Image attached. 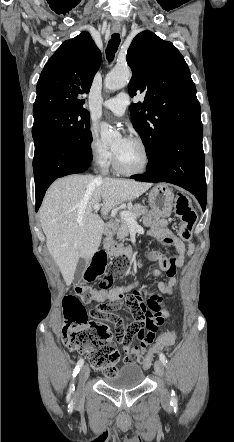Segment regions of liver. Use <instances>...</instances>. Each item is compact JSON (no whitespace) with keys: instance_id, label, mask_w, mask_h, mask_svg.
Returning <instances> with one entry per match:
<instances>
[{"instance_id":"liver-1","label":"liver","mask_w":234,"mask_h":442,"mask_svg":"<svg viewBox=\"0 0 234 442\" xmlns=\"http://www.w3.org/2000/svg\"><path fill=\"white\" fill-rule=\"evenodd\" d=\"M151 183L126 179L70 175L55 181L46 192L40 208V222L46 245L69 286L81 259L90 261L98 250L104 222L93 213L102 200L101 213L138 198Z\"/></svg>"}]
</instances>
